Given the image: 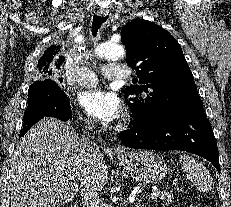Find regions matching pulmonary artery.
<instances>
[{
	"label": "pulmonary artery",
	"instance_id": "e3ab8cb5",
	"mask_svg": "<svg viewBox=\"0 0 231 207\" xmlns=\"http://www.w3.org/2000/svg\"><path fill=\"white\" fill-rule=\"evenodd\" d=\"M103 74L109 80H124L129 77L127 68L120 64L106 65L103 68ZM76 81L81 86H93L97 83L98 77L91 69L82 67L77 74Z\"/></svg>",
	"mask_w": 231,
	"mask_h": 207
}]
</instances>
